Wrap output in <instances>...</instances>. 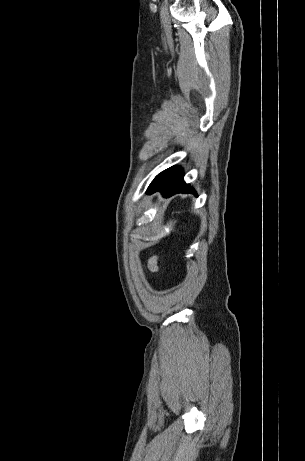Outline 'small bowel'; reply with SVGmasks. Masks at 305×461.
Segmentation results:
<instances>
[{
    "label": "small bowel",
    "mask_w": 305,
    "mask_h": 461,
    "mask_svg": "<svg viewBox=\"0 0 305 461\" xmlns=\"http://www.w3.org/2000/svg\"><path fill=\"white\" fill-rule=\"evenodd\" d=\"M148 266L151 271H157L158 270V259L157 257H153L149 260Z\"/></svg>",
    "instance_id": "small-bowel-1"
}]
</instances>
